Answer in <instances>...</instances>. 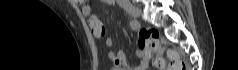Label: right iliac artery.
I'll return each instance as SVG.
<instances>
[{"label": "right iliac artery", "mask_w": 238, "mask_h": 70, "mask_svg": "<svg viewBox=\"0 0 238 70\" xmlns=\"http://www.w3.org/2000/svg\"><path fill=\"white\" fill-rule=\"evenodd\" d=\"M130 26H131V28L132 29H138L139 28V23L136 21V20H132L131 22H130Z\"/></svg>", "instance_id": "1"}]
</instances>
